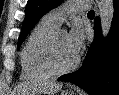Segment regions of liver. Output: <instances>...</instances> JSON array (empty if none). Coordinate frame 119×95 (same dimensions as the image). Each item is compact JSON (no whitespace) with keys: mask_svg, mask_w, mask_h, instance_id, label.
Segmentation results:
<instances>
[{"mask_svg":"<svg viewBox=\"0 0 119 95\" xmlns=\"http://www.w3.org/2000/svg\"><path fill=\"white\" fill-rule=\"evenodd\" d=\"M63 84L54 81L35 82L33 84H22L17 88V95H54ZM16 95V92H15Z\"/></svg>","mask_w":119,"mask_h":95,"instance_id":"6515ba94","label":"liver"}]
</instances>
